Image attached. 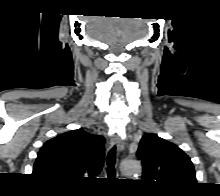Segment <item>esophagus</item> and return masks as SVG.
Returning <instances> with one entry per match:
<instances>
[{"instance_id": "1", "label": "esophagus", "mask_w": 220, "mask_h": 196, "mask_svg": "<svg viewBox=\"0 0 220 196\" xmlns=\"http://www.w3.org/2000/svg\"><path fill=\"white\" fill-rule=\"evenodd\" d=\"M110 144L112 146H117L118 150L119 151H122L123 148H124V143L122 141V139L120 138V136L118 134L116 135H113L111 138H110Z\"/></svg>"}]
</instances>
